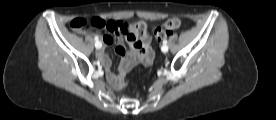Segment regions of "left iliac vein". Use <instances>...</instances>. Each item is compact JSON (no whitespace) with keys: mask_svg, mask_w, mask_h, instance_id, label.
Returning <instances> with one entry per match:
<instances>
[{"mask_svg":"<svg viewBox=\"0 0 276 120\" xmlns=\"http://www.w3.org/2000/svg\"><path fill=\"white\" fill-rule=\"evenodd\" d=\"M161 50L164 52V53H167L168 52V46L167 45H163Z\"/></svg>","mask_w":276,"mask_h":120,"instance_id":"1","label":"left iliac vein"}]
</instances>
